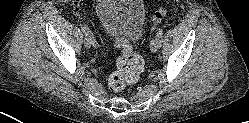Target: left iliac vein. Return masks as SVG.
Returning <instances> with one entry per match:
<instances>
[{
	"mask_svg": "<svg viewBox=\"0 0 249 123\" xmlns=\"http://www.w3.org/2000/svg\"><path fill=\"white\" fill-rule=\"evenodd\" d=\"M159 42H160V40H159L157 37H155V38L151 41V43H150V50H151L153 53H155V52L158 51V49H159V47H160Z\"/></svg>",
	"mask_w": 249,
	"mask_h": 123,
	"instance_id": "1",
	"label": "left iliac vein"
}]
</instances>
